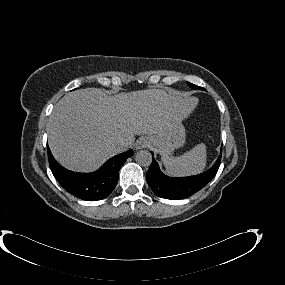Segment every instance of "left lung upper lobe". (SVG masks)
I'll use <instances>...</instances> for the list:
<instances>
[{"instance_id": "1", "label": "left lung upper lobe", "mask_w": 285, "mask_h": 285, "mask_svg": "<svg viewBox=\"0 0 285 285\" xmlns=\"http://www.w3.org/2000/svg\"><path fill=\"white\" fill-rule=\"evenodd\" d=\"M192 89H199V90H203V88L202 87H199V86H196V85H194V84H191V83H187Z\"/></svg>"}]
</instances>
